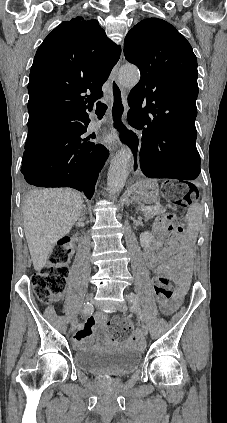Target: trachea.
<instances>
[{
	"label": "trachea",
	"mask_w": 227,
	"mask_h": 423,
	"mask_svg": "<svg viewBox=\"0 0 227 423\" xmlns=\"http://www.w3.org/2000/svg\"><path fill=\"white\" fill-rule=\"evenodd\" d=\"M106 110H107V105L105 103L97 102L96 114L98 115V117H103V115H105Z\"/></svg>",
	"instance_id": "trachea-1"
}]
</instances>
